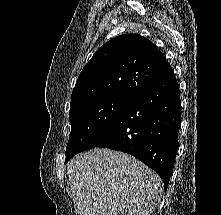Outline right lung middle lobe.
I'll use <instances>...</instances> for the list:
<instances>
[{
    "label": "right lung middle lobe",
    "mask_w": 221,
    "mask_h": 215,
    "mask_svg": "<svg viewBox=\"0 0 221 215\" xmlns=\"http://www.w3.org/2000/svg\"><path fill=\"white\" fill-rule=\"evenodd\" d=\"M132 96L106 95L71 105V132L66 147V162L88 149L116 120Z\"/></svg>",
    "instance_id": "right-lung-middle-lobe-1"
}]
</instances>
